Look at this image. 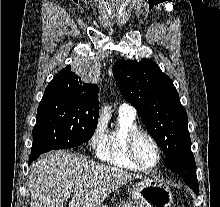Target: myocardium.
I'll return each mask as SVG.
<instances>
[{
	"mask_svg": "<svg viewBox=\"0 0 220 207\" xmlns=\"http://www.w3.org/2000/svg\"><path fill=\"white\" fill-rule=\"evenodd\" d=\"M140 136H145L147 137L152 144L154 145L156 152H157V160L153 165L147 166L144 165L140 159L137 156L136 153V141L138 139V137ZM126 146H127V152L128 155L130 157V159L138 166L140 167L142 170H153L155 169L161 162L162 159V150L160 147V144L158 143L157 139L154 137V135L152 133H150L149 131L145 130V129H140V128H136L133 131H131L127 137V142H126Z\"/></svg>",
	"mask_w": 220,
	"mask_h": 207,
	"instance_id": "obj_1",
	"label": "myocardium"
}]
</instances>
